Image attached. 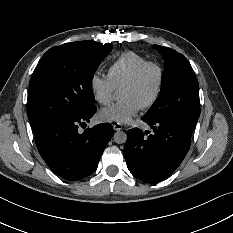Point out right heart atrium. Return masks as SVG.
<instances>
[{"instance_id": "obj_1", "label": "right heart atrium", "mask_w": 233, "mask_h": 233, "mask_svg": "<svg viewBox=\"0 0 233 233\" xmlns=\"http://www.w3.org/2000/svg\"><path fill=\"white\" fill-rule=\"evenodd\" d=\"M89 85L94 98L100 104L107 105L112 101L115 88L107 77L95 73L91 76Z\"/></svg>"}]
</instances>
